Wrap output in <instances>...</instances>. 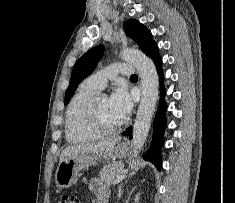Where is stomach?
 I'll list each match as a JSON object with an SVG mask.
<instances>
[{
	"mask_svg": "<svg viewBox=\"0 0 235 203\" xmlns=\"http://www.w3.org/2000/svg\"><path fill=\"white\" fill-rule=\"evenodd\" d=\"M129 151V147L125 143L118 144L115 147L105 150L100 153L92 154H78L66 157L59 163L55 174V182L59 188H69L75 184L80 176V172L90 165L94 164L96 160L101 158L115 159L125 158Z\"/></svg>",
	"mask_w": 235,
	"mask_h": 203,
	"instance_id": "0dacf381",
	"label": "stomach"
}]
</instances>
